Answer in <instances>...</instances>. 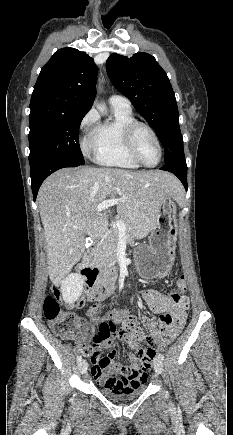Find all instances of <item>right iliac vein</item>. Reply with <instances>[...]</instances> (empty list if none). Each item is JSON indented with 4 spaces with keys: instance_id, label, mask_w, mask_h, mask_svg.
I'll return each mask as SVG.
<instances>
[{
    "instance_id": "63e3f726",
    "label": "right iliac vein",
    "mask_w": 233,
    "mask_h": 435,
    "mask_svg": "<svg viewBox=\"0 0 233 435\" xmlns=\"http://www.w3.org/2000/svg\"><path fill=\"white\" fill-rule=\"evenodd\" d=\"M88 364L85 360H82L78 364V369L82 374H85L87 372Z\"/></svg>"
}]
</instances>
